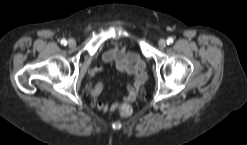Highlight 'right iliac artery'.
<instances>
[{
    "label": "right iliac artery",
    "instance_id": "right-iliac-artery-1",
    "mask_svg": "<svg viewBox=\"0 0 247 145\" xmlns=\"http://www.w3.org/2000/svg\"><path fill=\"white\" fill-rule=\"evenodd\" d=\"M61 44H62V45H66V44H67V41H66L65 39H62V40H61Z\"/></svg>",
    "mask_w": 247,
    "mask_h": 145
}]
</instances>
